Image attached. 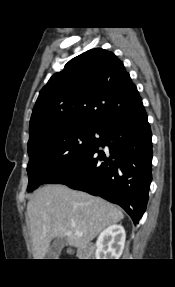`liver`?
I'll return each instance as SVG.
<instances>
[{
    "instance_id": "1",
    "label": "liver",
    "mask_w": 175,
    "mask_h": 287,
    "mask_svg": "<svg viewBox=\"0 0 175 287\" xmlns=\"http://www.w3.org/2000/svg\"><path fill=\"white\" fill-rule=\"evenodd\" d=\"M34 259H44L55 238L85 248L107 226L124 218L113 204L65 185L39 188L27 204Z\"/></svg>"
}]
</instances>
